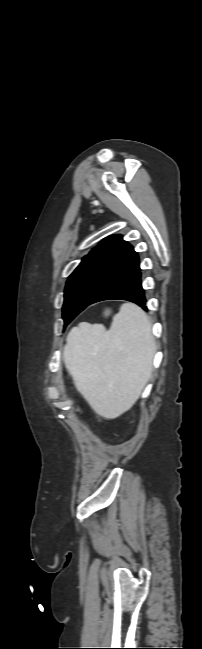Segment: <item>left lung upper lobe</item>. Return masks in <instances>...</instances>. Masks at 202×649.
<instances>
[{"label": "left lung upper lobe", "mask_w": 202, "mask_h": 649, "mask_svg": "<svg viewBox=\"0 0 202 649\" xmlns=\"http://www.w3.org/2000/svg\"><path fill=\"white\" fill-rule=\"evenodd\" d=\"M132 248L121 236L114 235L107 237L83 258L66 283L64 327L88 306Z\"/></svg>", "instance_id": "obj_1"}]
</instances>
